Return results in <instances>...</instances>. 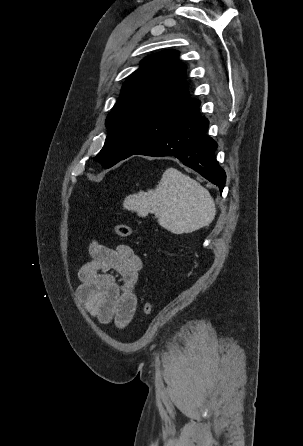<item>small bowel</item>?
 I'll return each mask as SVG.
<instances>
[{
	"instance_id": "1",
	"label": "small bowel",
	"mask_w": 303,
	"mask_h": 446,
	"mask_svg": "<svg viewBox=\"0 0 303 446\" xmlns=\"http://www.w3.org/2000/svg\"><path fill=\"white\" fill-rule=\"evenodd\" d=\"M88 250L91 259L78 271L77 295L86 310L101 323L113 321L123 328L137 308L141 260L125 244L110 248L93 241Z\"/></svg>"
}]
</instances>
